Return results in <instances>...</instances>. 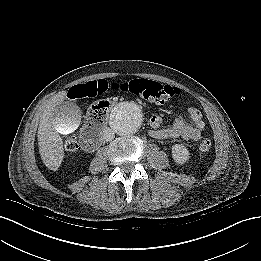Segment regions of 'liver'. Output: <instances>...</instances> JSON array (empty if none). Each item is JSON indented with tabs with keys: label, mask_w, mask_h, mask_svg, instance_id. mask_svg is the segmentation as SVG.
Segmentation results:
<instances>
[{
	"label": "liver",
	"mask_w": 261,
	"mask_h": 261,
	"mask_svg": "<svg viewBox=\"0 0 261 261\" xmlns=\"http://www.w3.org/2000/svg\"><path fill=\"white\" fill-rule=\"evenodd\" d=\"M65 98L66 91H60L48 100L44 106L37 132L41 159L45 166L53 171L59 168L64 158L63 141L60 133L68 134L73 132L81 120L79 108L76 117L69 126L55 117V107L63 103Z\"/></svg>",
	"instance_id": "6515ba94"
}]
</instances>
